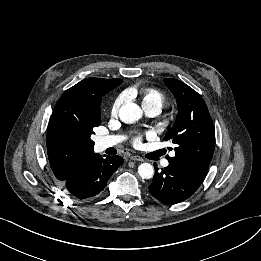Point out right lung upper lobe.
Segmentation results:
<instances>
[{"label":"right lung upper lobe","instance_id":"cb5924a9","mask_svg":"<svg viewBox=\"0 0 261 261\" xmlns=\"http://www.w3.org/2000/svg\"><path fill=\"white\" fill-rule=\"evenodd\" d=\"M121 79L87 78L64 92L57 102L51 122L61 118H80L85 113H99L102 97L120 85ZM49 163L59 181L67 179L85 158L93 152V146L80 142H62L47 138Z\"/></svg>","mask_w":261,"mask_h":261}]
</instances>
